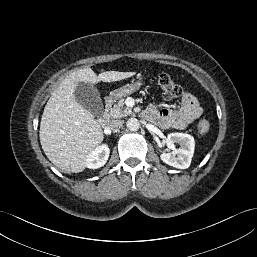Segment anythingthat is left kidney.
I'll use <instances>...</instances> for the list:
<instances>
[{"instance_id":"obj_1","label":"left kidney","mask_w":257,"mask_h":257,"mask_svg":"<svg viewBox=\"0 0 257 257\" xmlns=\"http://www.w3.org/2000/svg\"><path fill=\"white\" fill-rule=\"evenodd\" d=\"M170 144L178 143L180 148L174 149L172 153H163L160 155L161 160L178 169H186L190 166L194 149L195 141L193 136L186 133H170L167 136Z\"/></svg>"}]
</instances>
